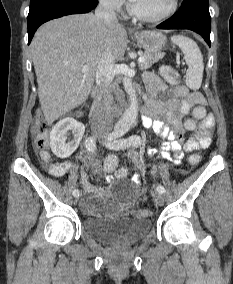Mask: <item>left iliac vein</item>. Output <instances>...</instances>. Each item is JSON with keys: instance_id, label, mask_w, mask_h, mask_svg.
Masks as SVG:
<instances>
[{"instance_id": "1", "label": "left iliac vein", "mask_w": 233, "mask_h": 284, "mask_svg": "<svg viewBox=\"0 0 233 284\" xmlns=\"http://www.w3.org/2000/svg\"><path fill=\"white\" fill-rule=\"evenodd\" d=\"M100 141L108 147V139L102 137ZM154 200L158 205L162 206L164 203V196L161 193H155Z\"/></svg>"}]
</instances>
